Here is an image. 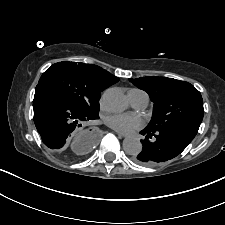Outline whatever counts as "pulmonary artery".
Listing matches in <instances>:
<instances>
[{
  "mask_svg": "<svg viewBox=\"0 0 225 225\" xmlns=\"http://www.w3.org/2000/svg\"><path fill=\"white\" fill-rule=\"evenodd\" d=\"M128 98L131 105L136 109H144L149 103V96L146 92L139 89L128 91Z\"/></svg>",
  "mask_w": 225,
  "mask_h": 225,
  "instance_id": "e3ab8cb5",
  "label": "pulmonary artery"
}]
</instances>
